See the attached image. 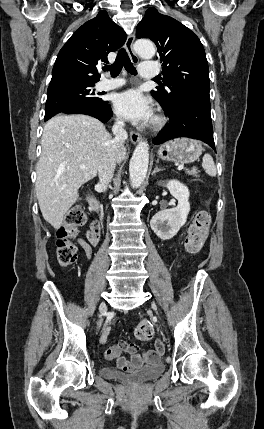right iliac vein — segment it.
<instances>
[{"label":"right iliac vein","mask_w":264,"mask_h":429,"mask_svg":"<svg viewBox=\"0 0 264 429\" xmlns=\"http://www.w3.org/2000/svg\"><path fill=\"white\" fill-rule=\"evenodd\" d=\"M105 316H106V315H104V316H102V317L104 318ZM101 325H102V320H100V323H99V326H98V328H99V329H100Z\"/></svg>","instance_id":"63e3f726"}]
</instances>
